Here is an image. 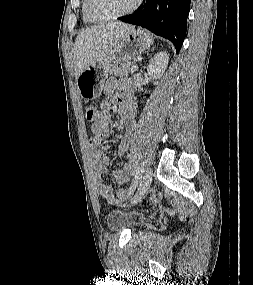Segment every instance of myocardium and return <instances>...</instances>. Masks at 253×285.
Returning a JSON list of instances; mask_svg holds the SVG:
<instances>
[{
  "instance_id": "1",
  "label": "myocardium",
  "mask_w": 253,
  "mask_h": 285,
  "mask_svg": "<svg viewBox=\"0 0 253 285\" xmlns=\"http://www.w3.org/2000/svg\"><path fill=\"white\" fill-rule=\"evenodd\" d=\"M85 1H86L87 13L92 19L96 21H110V20H116V19L122 18L124 16H127L133 13L134 11L138 9V7L141 5L143 0H135L132 6L129 7L127 10L114 14V15H109V16L98 15L92 8V0H85Z\"/></svg>"
}]
</instances>
